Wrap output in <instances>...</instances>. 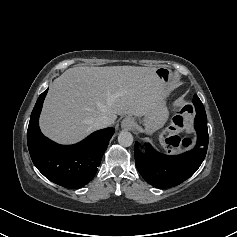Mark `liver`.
<instances>
[{"mask_svg": "<svg viewBox=\"0 0 237 237\" xmlns=\"http://www.w3.org/2000/svg\"><path fill=\"white\" fill-rule=\"evenodd\" d=\"M162 82L156 68L136 66L74 67L49 87L40 116L44 135L73 144L93 131L94 120L117 115L144 116L159 99Z\"/></svg>", "mask_w": 237, "mask_h": 237, "instance_id": "1", "label": "liver"}]
</instances>
